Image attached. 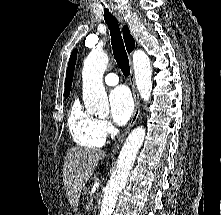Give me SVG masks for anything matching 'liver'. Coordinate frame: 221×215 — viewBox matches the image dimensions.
I'll use <instances>...</instances> for the list:
<instances>
[{"label":"liver","instance_id":"1","mask_svg":"<svg viewBox=\"0 0 221 215\" xmlns=\"http://www.w3.org/2000/svg\"><path fill=\"white\" fill-rule=\"evenodd\" d=\"M103 157L102 150L87 148L68 150L63 165V182L67 199L74 211L78 209L83 188Z\"/></svg>","mask_w":221,"mask_h":215}]
</instances>
